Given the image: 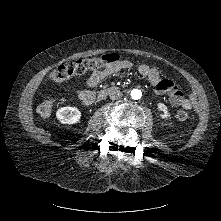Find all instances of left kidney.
<instances>
[{
    "label": "left kidney",
    "mask_w": 221,
    "mask_h": 221,
    "mask_svg": "<svg viewBox=\"0 0 221 221\" xmlns=\"http://www.w3.org/2000/svg\"><path fill=\"white\" fill-rule=\"evenodd\" d=\"M158 109L159 111H162L163 114H161L160 116L163 118V119H167L170 115L167 111V106L163 103H158Z\"/></svg>",
    "instance_id": "1"
}]
</instances>
